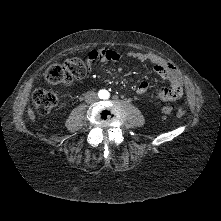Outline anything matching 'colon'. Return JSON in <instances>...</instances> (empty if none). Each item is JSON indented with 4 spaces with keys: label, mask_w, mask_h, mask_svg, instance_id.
Masks as SVG:
<instances>
[{
    "label": "colon",
    "mask_w": 221,
    "mask_h": 221,
    "mask_svg": "<svg viewBox=\"0 0 221 221\" xmlns=\"http://www.w3.org/2000/svg\"><path fill=\"white\" fill-rule=\"evenodd\" d=\"M88 69V65L80 58H71L62 64H54L47 68L44 73V79L51 85L67 84L83 78ZM32 99L38 112L41 114L50 112L58 101L56 93L43 88L35 90ZM173 110V105H165L162 107V113L164 115L171 114Z\"/></svg>",
    "instance_id": "colon-1"
}]
</instances>
